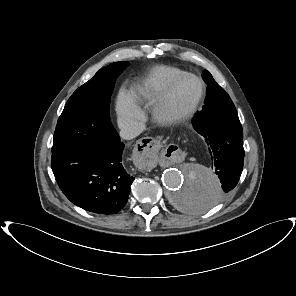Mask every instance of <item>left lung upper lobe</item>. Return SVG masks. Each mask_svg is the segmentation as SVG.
I'll use <instances>...</instances> for the list:
<instances>
[{"mask_svg":"<svg viewBox=\"0 0 296 296\" xmlns=\"http://www.w3.org/2000/svg\"><path fill=\"white\" fill-rule=\"evenodd\" d=\"M202 77L208 85L204 104L212 100L215 96L226 93L220 86H218L212 75L207 70L203 72Z\"/></svg>","mask_w":296,"mask_h":296,"instance_id":"1","label":"left lung upper lobe"}]
</instances>
